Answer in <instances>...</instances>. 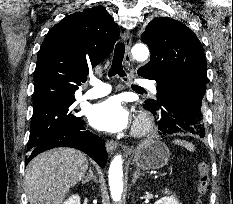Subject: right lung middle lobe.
<instances>
[{
  "instance_id": "dd1d6c3e",
  "label": "right lung middle lobe",
  "mask_w": 233,
  "mask_h": 204,
  "mask_svg": "<svg viewBox=\"0 0 233 204\" xmlns=\"http://www.w3.org/2000/svg\"><path fill=\"white\" fill-rule=\"evenodd\" d=\"M75 97L42 100L33 104L31 131L27 147L29 150L47 138L66 129L77 127L81 117L72 109Z\"/></svg>"
}]
</instances>
